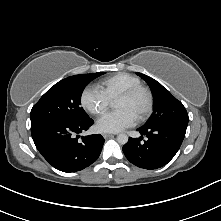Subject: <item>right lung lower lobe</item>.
<instances>
[{
  "mask_svg": "<svg viewBox=\"0 0 221 221\" xmlns=\"http://www.w3.org/2000/svg\"><path fill=\"white\" fill-rule=\"evenodd\" d=\"M94 121L47 120L31 124V134L36 148L54 168L69 173L80 171L99 157L104 138L98 135L82 136Z\"/></svg>",
  "mask_w": 221,
  "mask_h": 221,
  "instance_id": "1",
  "label": "right lung lower lobe"
}]
</instances>
